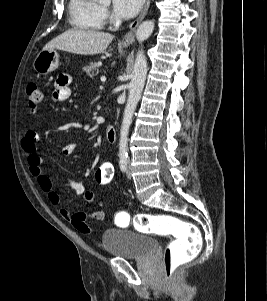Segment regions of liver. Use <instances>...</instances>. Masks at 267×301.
I'll list each match as a JSON object with an SVG mask.
<instances>
[{"label": "liver", "mask_w": 267, "mask_h": 301, "mask_svg": "<svg viewBox=\"0 0 267 301\" xmlns=\"http://www.w3.org/2000/svg\"><path fill=\"white\" fill-rule=\"evenodd\" d=\"M113 38L109 33L70 29L52 39L43 50L59 49L80 55H96L104 52Z\"/></svg>", "instance_id": "1"}]
</instances>
